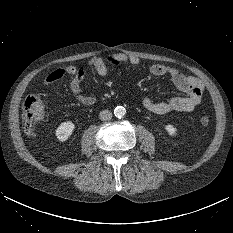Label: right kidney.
I'll list each match as a JSON object with an SVG mask.
<instances>
[{"mask_svg": "<svg viewBox=\"0 0 233 233\" xmlns=\"http://www.w3.org/2000/svg\"><path fill=\"white\" fill-rule=\"evenodd\" d=\"M75 129V125L71 121L62 122L56 129V137L59 141H66Z\"/></svg>", "mask_w": 233, "mask_h": 233, "instance_id": "right-kidney-1", "label": "right kidney"}]
</instances>
